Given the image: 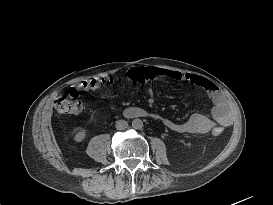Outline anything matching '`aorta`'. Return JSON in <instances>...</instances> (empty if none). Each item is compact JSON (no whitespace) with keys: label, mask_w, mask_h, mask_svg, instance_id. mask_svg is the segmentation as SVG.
Returning <instances> with one entry per match:
<instances>
[{"label":"aorta","mask_w":273,"mask_h":205,"mask_svg":"<svg viewBox=\"0 0 273 205\" xmlns=\"http://www.w3.org/2000/svg\"><path fill=\"white\" fill-rule=\"evenodd\" d=\"M132 127L134 128V129H141L142 127H143V122H142V120L141 119H134L133 121H132Z\"/></svg>","instance_id":"762f6f07"}]
</instances>
